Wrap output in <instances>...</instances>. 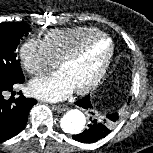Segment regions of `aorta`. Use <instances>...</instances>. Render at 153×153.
Listing matches in <instances>:
<instances>
[{"label":"aorta","mask_w":153,"mask_h":153,"mask_svg":"<svg viewBox=\"0 0 153 153\" xmlns=\"http://www.w3.org/2000/svg\"><path fill=\"white\" fill-rule=\"evenodd\" d=\"M86 124V117L83 112L78 109L67 111L61 118V128L69 134H79L82 132Z\"/></svg>","instance_id":"obj_1"}]
</instances>
